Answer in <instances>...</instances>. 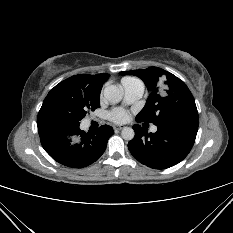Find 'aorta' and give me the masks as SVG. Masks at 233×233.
Masks as SVG:
<instances>
[{
	"label": "aorta",
	"mask_w": 233,
	"mask_h": 233,
	"mask_svg": "<svg viewBox=\"0 0 233 233\" xmlns=\"http://www.w3.org/2000/svg\"><path fill=\"white\" fill-rule=\"evenodd\" d=\"M104 98L112 104L119 103L123 98V90L116 85H109L104 89ZM134 130L131 127H124L121 131V136L125 140L134 138Z\"/></svg>",
	"instance_id": "aorta-1"
}]
</instances>
